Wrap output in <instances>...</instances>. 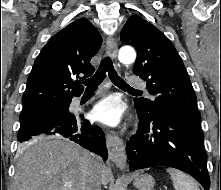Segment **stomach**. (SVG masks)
<instances>
[{
    "label": "stomach",
    "mask_w": 221,
    "mask_h": 190,
    "mask_svg": "<svg viewBox=\"0 0 221 190\" xmlns=\"http://www.w3.org/2000/svg\"><path fill=\"white\" fill-rule=\"evenodd\" d=\"M154 184V178L149 174L135 175L133 178V185L138 190H152Z\"/></svg>",
    "instance_id": "stomach-1"
}]
</instances>
